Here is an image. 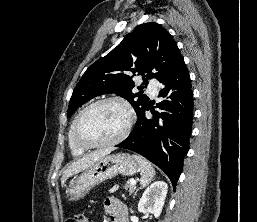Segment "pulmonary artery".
<instances>
[{
	"instance_id": "e3ab8cb5",
	"label": "pulmonary artery",
	"mask_w": 257,
	"mask_h": 222,
	"mask_svg": "<svg viewBox=\"0 0 257 222\" xmlns=\"http://www.w3.org/2000/svg\"><path fill=\"white\" fill-rule=\"evenodd\" d=\"M158 89V82L156 80H151L148 85V91L152 96H155Z\"/></svg>"
}]
</instances>
